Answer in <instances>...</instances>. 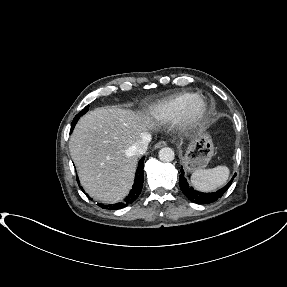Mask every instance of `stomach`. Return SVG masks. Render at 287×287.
Segmentation results:
<instances>
[{"label":"stomach","instance_id":"1","mask_svg":"<svg viewBox=\"0 0 287 287\" xmlns=\"http://www.w3.org/2000/svg\"><path fill=\"white\" fill-rule=\"evenodd\" d=\"M214 154V145L207 133H199L188 144L184 166L189 171H197L205 168Z\"/></svg>","mask_w":287,"mask_h":287}]
</instances>
